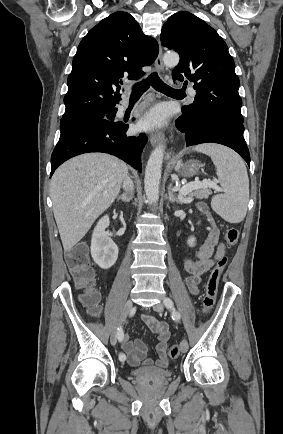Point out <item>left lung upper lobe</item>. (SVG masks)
Wrapping results in <instances>:
<instances>
[{
	"label": "left lung upper lobe",
	"instance_id": "left-lung-upper-lobe-1",
	"mask_svg": "<svg viewBox=\"0 0 283 434\" xmlns=\"http://www.w3.org/2000/svg\"><path fill=\"white\" fill-rule=\"evenodd\" d=\"M161 43L180 55L172 72L173 80L194 83V102L184 106L182 114L190 125L211 115L243 123L235 63L225 41L212 27L189 12L179 11L163 25Z\"/></svg>",
	"mask_w": 283,
	"mask_h": 434
}]
</instances>
